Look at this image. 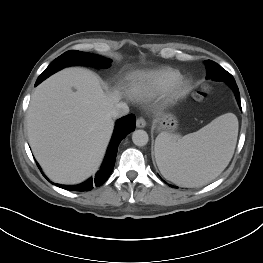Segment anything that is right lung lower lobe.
<instances>
[{
	"label": "right lung lower lobe",
	"instance_id": "98d812e1",
	"mask_svg": "<svg viewBox=\"0 0 263 263\" xmlns=\"http://www.w3.org/2000/svg\"><path fill=\"white\" fill-rule=\"evenodd\" d=\"M53 73H55L54 70L53 71L45 70L38 77L35 86H37L39 83H41L44 79H46ZM135 121H136L135 116L133 114H129L117 121L115 130H114V133L111 139V143L107 150L105 160L101 166V169L96 174L94 179L90 178L86 182L79 184V185H75V186H66V185H60V184H56V185L60 188L71 190V191H89L94 186L98 187L102 185L108 179L109 175L113 171L119 143L130 132H132L135 129V123H136ZM37 166L39 167L38 164Z\"/></svg>",
	"mask_w": 263,
	"mask_h": 263
}]
</instances>
